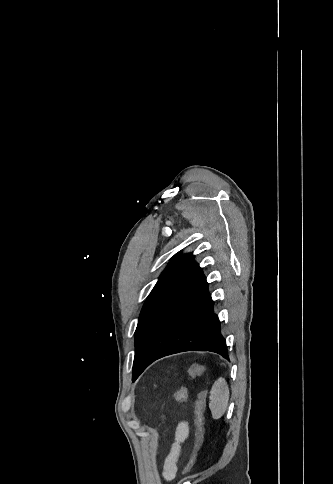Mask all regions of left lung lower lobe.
I'll return each mask as SVG.
<instances>
[{"label": "left lung lower lobe", "mask_w": 333, "mask_h": 484, "mask_svg": "<svg viewBox=\"0 0 333 484\" xmlns=\"http://www.w3.org/2000/svg\"><path fill=\"white\" fill-rule=\"evenodd\" d=\"M184 351H211L229 359L206 278L194 261L183 266L148 314L133 368L141 373L153 361Z\"/></svg>", "instance_id": "0a47b994"}]
</instances>
